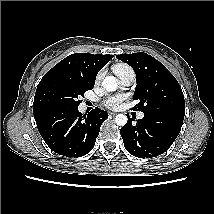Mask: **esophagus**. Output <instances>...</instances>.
Instances as JSON below:
<instances>
[{"instance_id": "1", "label": "esophagus", "mask_w": 214, "mask_h": 214, "mask_svg": "<svg viewBox=\"0 0 214 214\" xmlns=\"http://www.w3.org/2000/svg\"><path fill=\"white\" fill-rule=\"evenodd\" d=\"M117 113H115V112H109V115H111V116H115Z\"/></svg>"}]
</instances>
